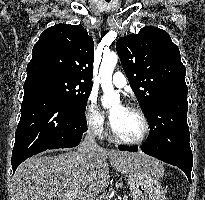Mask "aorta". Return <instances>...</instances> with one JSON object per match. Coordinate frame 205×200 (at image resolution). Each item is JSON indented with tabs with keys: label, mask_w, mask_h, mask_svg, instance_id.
Instances as JSON below:
<instances>
[{
	"label": "aorta",
	"mask_w": 205,
	"mask_h": 200,
	"mask_svg": "<svg viewBox=\"0 0 205 200\" xmlns=\"http://www.w3.org/2000/svg\"><path fill=\"white\" fill-rule=\"evenodd\" d=\"M117 61L118 55L115 52L104 54L99 70L101 88L104 93L102 105L106 108L117 106L120 103L119 94L114 90L112 84V74Z\"/></svg>",
	"instance_id": "1"
}]
</instances>
